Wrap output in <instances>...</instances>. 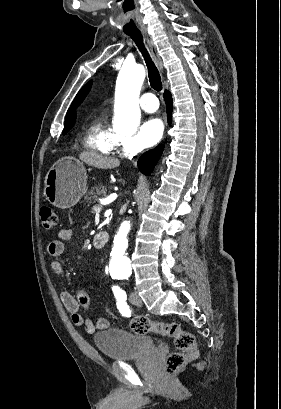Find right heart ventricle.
<instances>
[{"label": "right heart ventricle", "instance_id": "right-heart-ventricle-1", "mask_svg": "<svg viewBox=\"0 0 281 409\" xmlns=\"http://www.w3.org/2000/svg\"><path fill=\"white\" fill-rule=\"evenodd\" d=\"M88 141L91 151L100 157L109 156L117 150L129 151L123 145L121 137L103 117H99L91 123Z\"/></svg>", "mask_w": 281, "mask_h": 409}]
</instances>
